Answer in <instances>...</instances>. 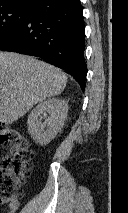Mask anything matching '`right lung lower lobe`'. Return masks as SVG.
<instances>
[{
	"label": "right lung lower lobe",
	"instance_id": "obj_1",
	"mask_svg": "<svg viewBox=\"0 0 128 213\" xmlns=\"http://www.w3.org/2000/svg\"><path fill=\"white\" fill-rule=\"evenodd\" d=\"M84 29L80 0H39L23 24L0 41V50L49 60L84 90Z\"/></svg>",
	"mask_w": 128,
	"mask_h": 213
}]
</instances>
